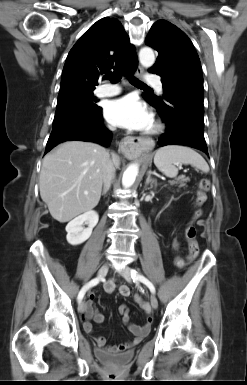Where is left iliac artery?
<instances>
[{"instance_id": "obj_1", "label": "left iliac artery", "mask_w": 247, "mask_h": 385, "mask_svg": "<svg viewBox=\"0 0 247 385\" xmlns=\"http://www.w3.org/2000/svg\"><path fill=\"white\" fill-rule=\"evenodd\" d=\"M132 278H133V281L138 280V281L142 282L144 285H146L149 288V290L151 291L152 294H155L154 285L145 276L138 274L135 270H133L132 271Z\"/></svg>"}]
</instances>
